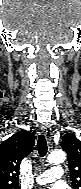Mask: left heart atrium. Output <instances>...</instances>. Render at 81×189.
Here are the masks:
<instances>
[{"instance_id": "left-heart-atrium-1", "label": "left heart atrium", "mask_w": 81, "mask_h": 189, "mask_svg": "<svg viewBox=\"0 0 81 189\" xmlns=\"http://www.w3.org/2000/svg\"><path fill=\"white\" fill-rule=\"evenodd\" d=\"M51 189H59V188H57V187H53V188H51Z\"/></svg>"}]
</instances>
